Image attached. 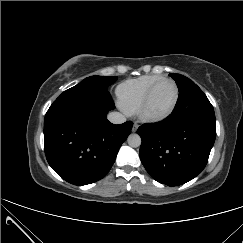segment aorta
I'll list each match as a JSON object with an SVG mask.
<instances>
[{"label":"aorta","instance_id":"762f6f07","mask_svg":"<svg viewBox=\"0 0 243 243\" xmlns=\"http://www.w3.org/2000/svg\"><path fill=\"white\" fill-rule=\"evenodd\" d=\"M128 145L137 148L141 145V138L138 134H130L127 138Z\"/></svg>","mask_w":243,"mask_h":243}]
</instances>
